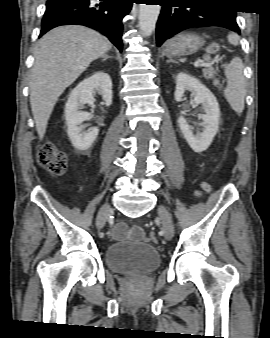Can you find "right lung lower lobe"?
Segmentation results:
<instances>
[{"instance_id": "1", "label": "right lung lower lobe", "mask_w": 270, "mask_h": 338, "mask_svg": "<svg viewBox=\"0 0 270 338\" xmlns=\"http://www.w3.org/2000/svg\"><path fill=\"white\" fill-rule=\"evenodd\" d=\"M134 1L47 0L40 37L56 26L84 25L107 36L122 51V19Z\"/></svg>"}]
</instances>
